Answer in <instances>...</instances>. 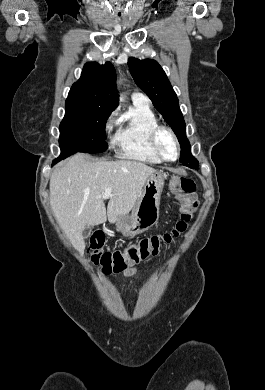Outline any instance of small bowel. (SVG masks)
Segmentation results:
<instances>
[{
	"instance_id": "small-bowel-1",
	"label": "small bowel",
	"mask_w": 265,
	"mask_h": 390,
	"mask_svg": "<svg viewBox=\"0 0 265 390\" xmlns=\"http://www.w3.org/2000/svg\"><path fill=\"white\" fill-rule=\"evenodd\" d=\"M136 272H137V269L131 267V268H129L128 270H126L125 272H123L122 274H123V276H125V277H131V276L135 275Z\"/></svg>"
}]
</instances>
